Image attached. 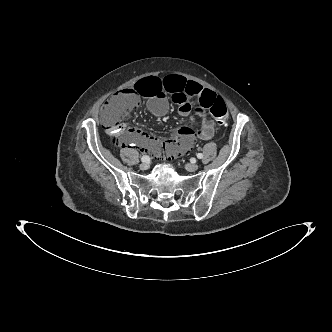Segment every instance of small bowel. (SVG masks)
<instances>
[{
	"label": "small bowel",
	"mask_w": 332,
	"mask_h": 332,
	"mask_svg": "<svg viewBox=\"0 0 332 332\" xmlns=\"http://www.w3.org/2000/svg\"><path fill=\"white\" fill-rule=\"evenodd\" d=\"M132 88L142 100L147 101L149 111L155 116L166 115L170 102H172L178 105L180 115L185 117L193 108L189 99L197 98L200 105H204L208 109V118L201 122L199 129L188 132L179 130L177 137L168 141H162L140 129L122 127L121 144L124 147L138 146L161 157L174 151H186L195 139L209 140L214 136V121L210 116V104L216 95L211 90L175 74L165 77L143 76L133 81ZM101 117L103 120V112Z\"/></svg>",
	"instance_id": "obj_1"
}]
</instances>
